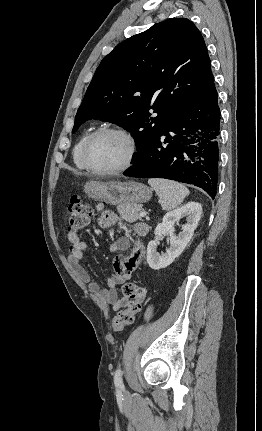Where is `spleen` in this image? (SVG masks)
<instances>
[{
    "label": "spleen",
    "instance_id": "3e777b00",
    "mask_svg": "<svg viewBox=\"0 0 262 431\" xmlns=\"http://www.w3.org/2000/svg\"><path fill=\"white\" fill-rule=\"evenodd\" d=\"M148 184L162 200L161 206L165 211L178 207L185 197L189 195L187 187L172 180L150 178L148 179Z\"/></svg>",
    "mask_w": 262,
    "mask_h": 431
}]
</instances>
